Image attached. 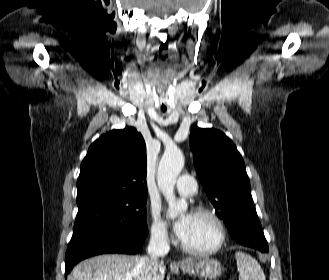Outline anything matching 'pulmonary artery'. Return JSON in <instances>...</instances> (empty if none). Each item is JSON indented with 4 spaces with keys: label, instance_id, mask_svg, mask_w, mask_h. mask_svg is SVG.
<instances>
[{
    "label": "pulmonary artery",
    "instance_id": "obj_1",
    "mask_svg": "<svg viewBox=\"0 0 329 280\" xmlns=\"http://www.w3.org/2000/svg\"><path fill=\"white\" fill-rule=\"evenodd\" d=\"M176 189L181 195H193L197 189L195 179L191 175H181L177 180Z\"/></svg>",
    "mask_w": 329,
    "mask_h": 280
}]
</instances>
